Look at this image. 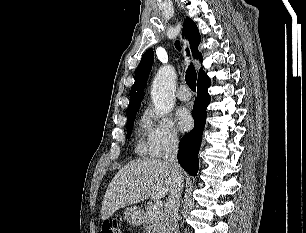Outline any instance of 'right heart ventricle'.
<instances>
[{"instance_id": "e07e8e85", "label": "right heart ventricle", "mask_w": 306, "mask_h": 233, "mask_svg": "<svg viewBox=\"0 0 306 233\" xmlns=\"http://www.w3.org/2000/svg\"><path fill=\"white\" fill-rule=\"evenodd\" d=\"M144 127H145V119L140 122L139 127L137 129V133H136L135 149H136V152L140 155H145L147 153V144L145 143L144 138H143Z\"/></svg>"}]
</instances>
